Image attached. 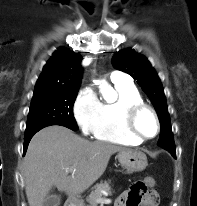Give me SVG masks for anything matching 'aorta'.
Listing matches in <instances>:
<instances>
[{
	"label": "aorta",
	"mask_w": 197,
	"mask_h": 206,
	"mask_svg": "<svg viewBox=\"0 0 197 206\" xmlns=\"http://www.w3.org/2000/svg\"><path fill=\"white\" fill-rule=\"evenodd\" d=\"M100 90L101 93L103 94L104 98L110 100L113 98L114 91L113 89L108 85L107 82L101 81L100 82Z\"/></svg>",
	"instance_id": "1"
}]
</instances>
